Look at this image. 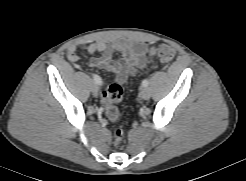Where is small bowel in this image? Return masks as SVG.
Here are the masks:
<instances>
[{
    "label": "small bowel",
    "mask_w": 246,
    "mask_h": 181,
    "mask_svg": "<svg viewBox=\"0 0 246 181\" xmlns=\"http://www.w3.org/2000/svg\"><path fill=\"white\" fill-rule=\"evenodd\" d=\"M85 50L92 54L90 66L111 72L115 76L117 83H125L128 76L137 68H147L152 61L147 57L148 47L143 43L118 42L108 44L97 41L92 43H76L68 48V59L76 68H80L79 51ZM115 53L121 55L120 59H115Z\"/></svg>",
    "instance_id": "1"
}]
</instances>
